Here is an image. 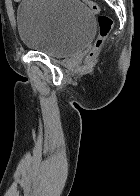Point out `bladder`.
<instances>
[{"mask_svg": "<svg viewBox=\"0 0 140 196\" xmlns=\"http://www.w3.org/2000/svg\"><path fill=\"white\" fill-rule=\"evenodd\" d=\"M16 21L21 42L50 57L80 52L96 32L94 12L79 0H23Z\"/></svg>", "mask_w": 140, "mask_h": 196, "instance_id": "1", "label": "bladder"}]
</instances>
